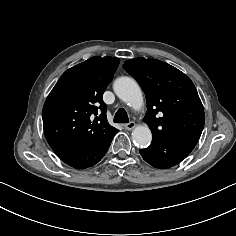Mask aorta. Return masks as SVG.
Here are the masks:
<instances>
[{"mask_svg": "<svg viewBox=\"0 0 236 236\" xmlns=\"http://www.w3.org/2000/svg\"><path fill=\"white\" fill-rule=\"evenodd\" d=\"M113 90L118 98L134 109H139L142 106V91L134 79L126 76L116 79ZM132 139L138 146L146 147L152 140L151 130L148 126H137L132 131Z\"/></svg>", "mask_w": 236, "mask_h": 236, "instance_id": "aorta-1", "label": "aorta"}]
</instances>
